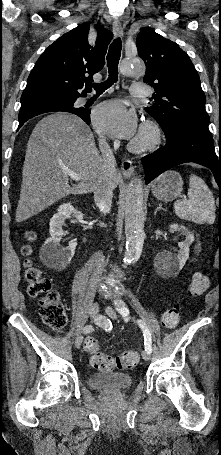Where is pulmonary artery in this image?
<instances>
[{"label":"pulmonary artery","instance_id":"e3ab8cb5","mask_svg":"<svg viewBox=\"0 0 221 455\" xmlns=\"http://www.w3.org/2000/svg\"><path fill=\"white\" fill-rule=\"evenodd\" d=\"M149 93V89L146 84L143 83H133L130 87V94L133 96H147ZM89 100L88 97L84 98L82 101L85 102Z\"/></svg>","mask_w":221,"mask_h":455}]
</instances>
